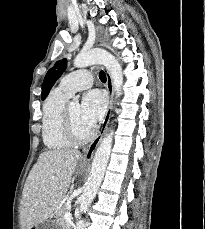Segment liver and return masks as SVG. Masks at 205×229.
Instances as JSON below:
<instances>
[{
	"instance_id": "6515ba94",
	"label": "liver",
	"mask_w": 205,
	"mask_h": 229,
	"mask_svg": "<svg viewBox=\"0 0 205 229\" xmlns=\"http://www.w3.org/2000/svg\"><path fill=\"white\" fill-rule=\"evenodd\" d=\"M81 153L73 149L43 152L31 169L22 193V229H31L51 217L71 184Z\"/></svg>"
}]
</instances>
